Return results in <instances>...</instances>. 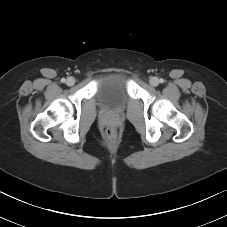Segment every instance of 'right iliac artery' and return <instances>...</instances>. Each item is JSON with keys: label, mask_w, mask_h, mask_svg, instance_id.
<instances>
[{"label": "right iliac artery", "mask_w": 227, "mask_h": 227, "mask_svg": "<svg viewBox=\"0 0 227 227\" xmlns=\"http://www.w3.org/2000/svg\"><path fill=\"white\" fill-rule=\"evenodd\" d=\"M65 81H66L65 78H62V79H61V82H62V83H65Z\"/></svg>", "instance_id": "1"}]
</instances>
